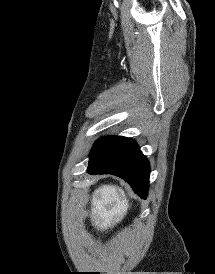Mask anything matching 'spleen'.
Instances as JSON below:
<instances>
[{
  "mask_svg": "<svg viewBox=\"0 0 215 274\" xmlns=\"http://www.w3.org/2000/svg\"><path fill=\"white\" fill-rule=\"evenodd\" d=\"M93 204L96 213L106 222L127 211L128 200L121 188L104 185L93 195Z\"/></svg>",
  "mask_w": 215,
  "mask_h": 274,
  "instance_id": "1",
  "label": "spleen"
}]
</instances>
